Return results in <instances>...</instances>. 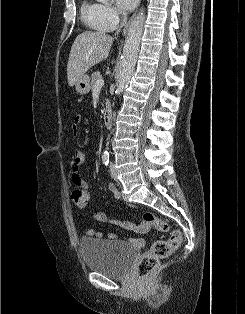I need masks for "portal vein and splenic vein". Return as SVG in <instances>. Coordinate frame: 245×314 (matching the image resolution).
<instances>
[{"mask_svg": "<svg viewBox=\"0 0 245 314\" xmlns=\"http://www.w3.org/2000/svg\"><path fill=\"white\" fill-rule=\"evenodd\" d=\"M104 85V80L102 78H98L95 84V88H101Z\"/></svg>", "mask_w": 245, "mask_h": 314, "instance_id": "portal-vein-and-splenic-vein-1", "label": "portal vein and splenic vein"}]
</instances>
